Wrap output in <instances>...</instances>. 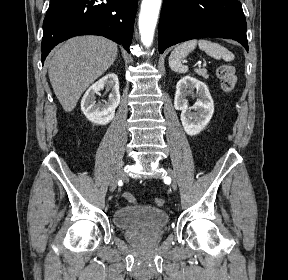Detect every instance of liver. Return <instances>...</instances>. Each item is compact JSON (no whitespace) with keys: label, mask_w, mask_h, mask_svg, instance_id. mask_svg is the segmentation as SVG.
Instances as JSON below:
<instances>
[{"label":"liver","mask_w":288,"mask_h":280,"mask_svg":"<svg viewBox=\"0 0 288 280\" xmlns=\"http://www.w3.org/2000/svg\"><path fill=\"white\" fill-rule=\"evenodd\" d=\"M117 44L104 37L81 36L66 41L49 63L54 93L66 112H71L83 92L113 64Z\"/></svg>","instance_id":"obj_1"}]
</instances>
